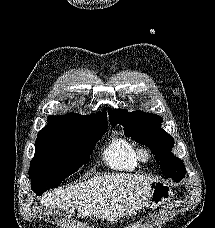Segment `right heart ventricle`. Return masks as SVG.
Listing matches in <instances>:
<instances>
[{"label":"right heart ventricle","instance_id":"obj_1","mask_svg":"<svg viewBox=\"0 0 215 228\" xmlns=\"http://www.w3.org/2000/svg\"><path fill=\"white\" fill-rule=\"evenodd\" d=\"M102 159L111 169L131 172L138 168L137 147L123 136H113L106 143Z\"/></svg>","mask_w":215,"mask_h":228}]
</instances>
